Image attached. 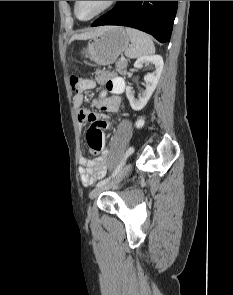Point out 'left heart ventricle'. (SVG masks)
<instances>
[{
    "mask_svg": "<svg viewBox=\"0 0 233 295\" xmlns=\"http://www.w3.org/2000/svg\"><path fill=\"white\" fill-rule=\"evenodd\" d=\"M107 1H79L78 15L83 18H89L99 11Z\"/></svg>",
    "mask_w": 233,
    "mask_h": 295,
    "instance_id": "b2bd125f",
    "label": "left heart ventricle"
}]
</instances>
